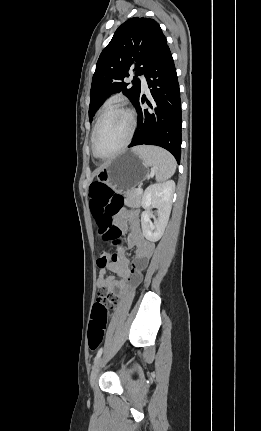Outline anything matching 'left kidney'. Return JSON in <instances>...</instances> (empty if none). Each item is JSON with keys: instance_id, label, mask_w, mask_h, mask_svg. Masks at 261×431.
Listing matches in <instances>:
<instances>
[{"instance_id": "5707ae66", "label": "left kidney", "mask_w": 261, "mask_h": 431, "mask_svg": "<svg viewBox=\"0 0 261 431\" xmlns=\"http://www.w3.org/2000/svg\"><path fill=\"white\" fill-rule=\"evenodd\" d=\"M175 190V183L168 181L163 184H152L144 192L142 206L145 209L141 214L143 235L151 242L158 241L167 226ZM158 209V219L154 223L150 220V208Z\"/></svg>"}]
</instances>
